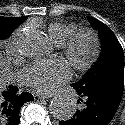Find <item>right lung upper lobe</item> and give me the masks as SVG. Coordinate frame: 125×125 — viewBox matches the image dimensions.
<instances>
[{"mask_svg":"<svg viewBox=\"0 0 125 125\" xmlns=\"http://www.w3.org/2000/svg\"><path fill=\"white\" fill-rule=\"evenodd\" d=\"M3 17V16H2ZM27 17L26 16H23V17H19V18H12L14 20H18V21H24Z\"/></svg>","mask_w":125,"mask_h":125,"instance_id":"cb5924a9","label":"right lung upper lobe"}]
</instances>
